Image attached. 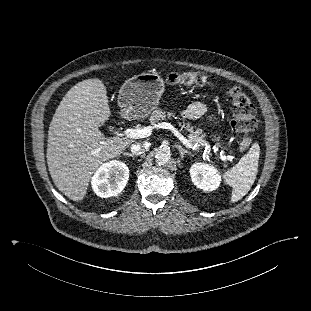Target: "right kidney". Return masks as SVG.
<instances>
[{"label": "right kidney", "mask_w": 311, "mask_h": 311, "mask_svg": "<svg viewBox=\"0 0 311 311\" xmlns=\"http://www.w3.org/2000/svg\"><path fill=\"white\" fill-rule=\"evenodd\" d=\"M129 179L127 165L118 160L102 164L92 177L93 191L102 198L116 196L122 192Z\"/></svg>", "instance_id": "1"}]
</instances>
